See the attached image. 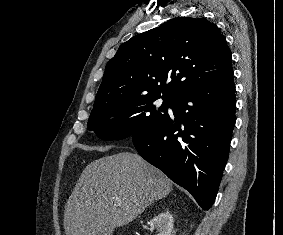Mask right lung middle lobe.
Masks as SVG:
<instances>
[{
    "instance_id": "1",
    "label": "right lung middle lobe",
    "mask_w": 283,
    "mask_h": 235,
    "mask_svg": "<svg viewBox=\"0 0 283 235\" xmlns=\"http://www.w3.org/2000/svg\"><path fill=\"white\" fill-rule=\"evenodd\" d=\"M159 98L144 96L96 105L90 114L88 128L104 140L141 136L169 116L167 109L172 99L162 97V105L156 107L155 101Z\"/></svg>"
}]
</instances>
